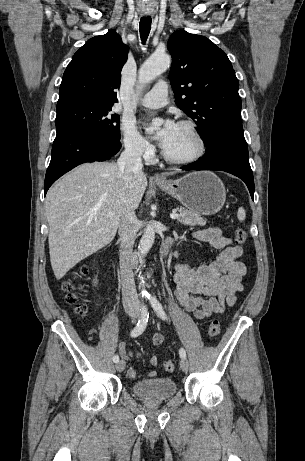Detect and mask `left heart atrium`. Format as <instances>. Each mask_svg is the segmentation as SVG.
Masks as SVG:
<instances>
[{
    "mask_svg": "<svg viewBox=\"0 0 305 461\" xmlns=\"http://www.w3.org/2000/svg\"><path fill=\"white\" fill-rule=\"evenodd\" d=\"M176 128H177V124L174 121L167 119L164 122L162 128L160 129L157 135V140L159 142V145L163 149L167 148L169 144L171 143V141L173 140L174 135L176 133Z\"/></svg>",
    "mask_w": 305,
    "mask_h": 461,
    "instance_id": "39dd6f15",
    "label": "left heart atrium"
}]
</instances>
